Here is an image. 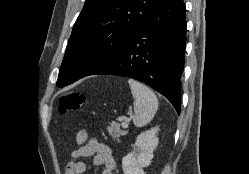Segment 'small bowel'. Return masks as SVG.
<instances>
[{"label":"small bowel","instance_id":"obj_1","mask_svg":"<svg viewBox=\"0 0 249 174\" xmlns=\"http://www.w3.org/2000/svg\"><path fill=\"white\" fill-rule=\"evenodd\" d=\"M78 148L72 153V160L67 164L65 174H83L87 169L84 161L78 158L92 157L91 165L101 167V174H120L111 148L94 137H89L85 130L76 134Z\"/></svg>","mask_w":249,"mask_h":174}]
</instances>
